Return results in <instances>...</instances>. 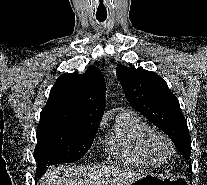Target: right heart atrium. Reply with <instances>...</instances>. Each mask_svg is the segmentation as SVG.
I'll return each instance as SVG.
<instances>
[{
    "label": "right heart atrium",
    "instance_id": "right-heart-atrium-1",
    "mask_svg": "<svg viewBox=\"0 0 207 185\" xmlns=\"http://www.w3.org/2000/svg\"><path fill=\"white\" fill-rule=\"evenodd\" d=\"M106 120H107V116L103 117V119H102V123H105Z\"/></svg>",
    "mask_w": 207,
    "mask_h": 185
}]
</instances>
